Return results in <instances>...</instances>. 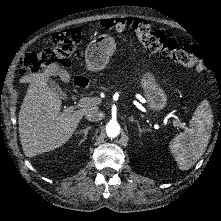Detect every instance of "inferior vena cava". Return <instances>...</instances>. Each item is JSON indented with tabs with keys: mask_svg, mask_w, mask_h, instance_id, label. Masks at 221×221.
Instances as JSON below:
<instances>
[{
	"mask_svg": "<svg viewBox=\"0 0 221 221\" xmlns=\"http://www.w3.org/2000/svg\"><path fill=\"white\" fill-rule=\"evenodd\" d=\"M84 116L90 122H98L105 118L104 112L100 111L96 107L90 108L89 111L84 114Z\"/></svg>",
	"mask_w": 221,
	"mask_h": 221,
	"instance_id": "1",
	"label": "inferior vena cava"
}]
</instances>
